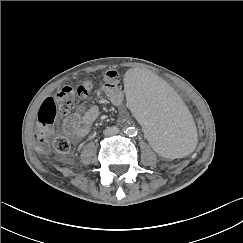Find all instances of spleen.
Masks as SVG:
<instances>
[{
  "label": "spleen",
  "instance_id": "spleen-1",
  "mask_svg": "<svg viewBox=\"0 0 243 243\" xmlns=\"http://www.w3.org/2000/svg\"><path fill=\"white\" fill-rule=\"evenodd\" d=\"M124 96L156 153L179 159L191 151L195 143L192 120L178 94L158 74L134 72L125 82Z\"/></svg>",
  "mask_w": 243,
  "mask_h": 243
}]
</instances>
